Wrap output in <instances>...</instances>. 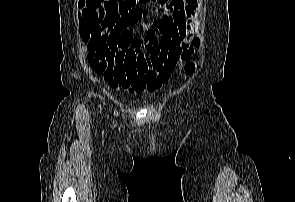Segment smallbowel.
I'll return each instance as SVG.
<instances>
[{"label": "small bowel", "instance_id": "c3829d8e", "mask_svg": "<svg viewBox=\"0 0 295 202\" xmlns=\"http://www.w3.org/2000/svg\"><path fill=\"white\" fill-rule=\"evenodd\" d=\"M78 6L91 24L114 17L106 14L102 0H79ZM196 10L197 0L155 1L149 11L136 5L113 20L107 47H91L90 66L113 87L134 93L157 90L176 62L189 57L191 42L199 44ZM139 28L142 34L136 35Z\"/></svg>", "mask_w": 295, "mask_h": 202}]
</instances>
